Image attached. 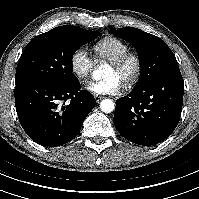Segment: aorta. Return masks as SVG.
Masks as SVG:
<instances>
[{"label": "aorta", "mask_w": 199, "mask_h": 199, "mask_svg": "<svg viewBox=\"0 0 199 199\" xmlns=\"http://www.w3.org/2000/svg\"><path fill=\"white\" fill-rule=\"evenodd\" d=\"M102 68H103V65L99 66L94 71L95 77L101 75ZM100 109L105 113H110L115 109L114 102L111 99H104L100 103Z\"/></svg>", "instance_id": "aorta-1"}]
</instances>
